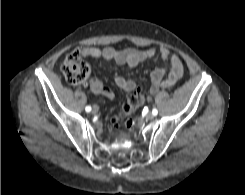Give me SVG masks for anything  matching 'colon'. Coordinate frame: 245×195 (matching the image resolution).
<instances>
[{
  "instance_id": "5ec220e1",
  "label": "colon",
  "mask_w": 245,
  "mask_h": 195,
  "mask_svg": "<svg viewBox=\"0 0 245 195\" xmlns=\"http://www.w3.org/2000/svg\"><path fill=\"white\" fill-rule=\"evenodd\" d=\"M61 71L66 80L71 84H84L90 74V67L84 60L79 50L69 53L61 65ZM145 93L140 89L134 90L128 97L126 103L122 105L119 112L114 115L109 124L111 127H118L121 122L132 124L130 115L144 102Z\"/></svg>"
}]
</instances>
